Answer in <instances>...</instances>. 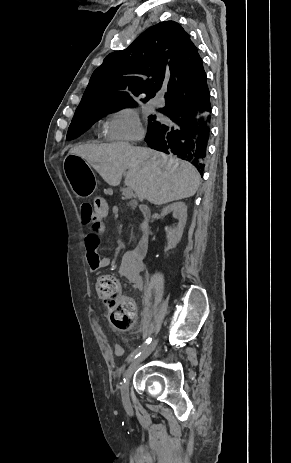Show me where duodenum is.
Masks as SVG:
<instances>
[{"instance_id":"obj_1","label":"duodenum","mask_w":291,"mask_h":463,"mask_svg":"<svg viewBox=\"0 0 291 463\" xmlns=\"http://www.w3.org/2000/svg\"><path fill=\"white\" fill-rule=\"evenodd\" d=\"M139 210L142 212L146 220L150 219L151 212L148 210V205L146 203H141L139 205ZM149 247V232L146 231L143 237L138 241L135 252L142 257H145L148 252Z\"/></svg>"}]
</instances>
